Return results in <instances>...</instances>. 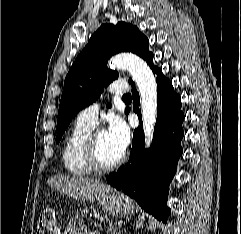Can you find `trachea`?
Masks as SVG:
<instances>
[{
    "instance_id": "trachea-1",
    "label": "trachea",
    "mask_w": 241,
    "mask_h": 234,
    "mask_svg": "<svg viewBox=\"0 0 241 234\" xmlns=\"http://www.w3.org/2000/svg\"><path fill=\"white\" fill-rule=\"evenodd\" d=\"M124 100H130L131 99V95L130 94H126L122 97Z\"/></svg>"
}]
</instances>
